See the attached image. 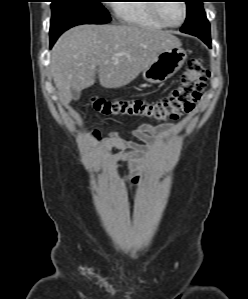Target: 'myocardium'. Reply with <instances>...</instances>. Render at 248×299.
<instances>
[{"mask_svg":"<svg viewBox=\"0 0 248 299\" xmlns=\"http://www.w3.org/2000/svg\"><path fill=\"white\" fill-rule=\"evenodd\" d=\"M156 2H160V1H156ZM180 3L182 4V8H183V17L181 19V21L177 24H171L168 21L165 20V18L162 16L161 12H160V6L162 3H153L152 5V13L155 17V19L160 22L163 26L165 27H169V28H177L179 26H181L186 18H187V4L185 3V1H180Z\"/></svg>","mask_w":248,"mask_h":299,"instance_id":"f54148a6","label":"myocardium"}]
</instances>
